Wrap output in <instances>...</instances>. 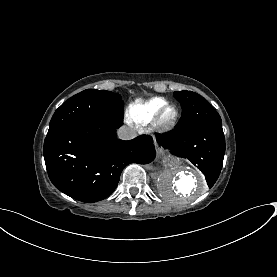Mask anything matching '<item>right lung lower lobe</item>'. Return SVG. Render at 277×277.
<instances>
[{
  "label": "right lung lower lobe",
  "mask_w": 277,
  "mask_h": 277,
  "mask_svg": "<svg viewBox=\"0 0 277 277\" xmlns=\"http://www.w3.org/2000/svg\"><path fill=\"white\" fill-rule=\"evenodd\" d=\"M121 125L122 120H96L48 133L43 153L54 186L76 200L97 202L115 190L126 165L150 163L156 155L151 137L117 139Z\"/></svg>",
  "instance_id": "right-lung-lower-lobe-1"
}]
</instances>
